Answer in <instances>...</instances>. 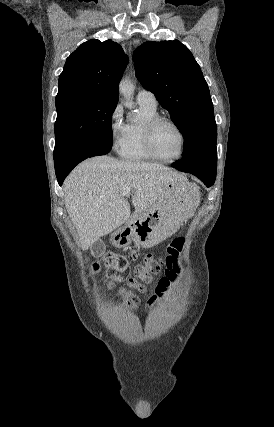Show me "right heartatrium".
<instances>
[{"instance_id":"1","label":"right heart atrium","mask_w":274,"mask_h":427,"mask_svg":"<svg viewBox=\"0 0 274 427\" xmlns=\"http://www.w3.org/2000/svg\"><path fill=\"white\" fill-rule=\"evenodd\" d=\"M125 131V124L121 121L120 110L114 108L108 117V136L111 145L118 148Z\"/></svg>"}]
</instances>
